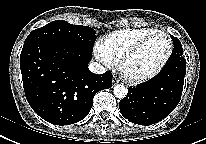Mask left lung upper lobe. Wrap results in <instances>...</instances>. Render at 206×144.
Masks as SVG:
<instances>
[{
	"mask_svg": "<svg viewBox=\"0 0 206 144\" xmlns=\"http://www.w3.org/2000/svg\"><path fill=\"white\" fill-rule=\"evenodd\" d=\"M171 38L174 42L173 53H180L182 55L183 54V49H182L180 41L172 35H171Z\"/></svg>",
	"mask_w": 206,
	"mask_h": 144,
	"instance_id": "1",
	"label": "left lung upper lobe"
}]
</instances>
